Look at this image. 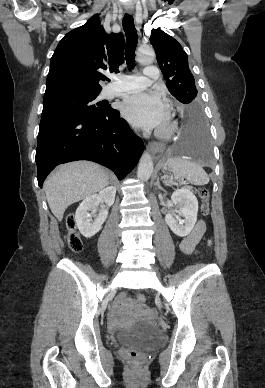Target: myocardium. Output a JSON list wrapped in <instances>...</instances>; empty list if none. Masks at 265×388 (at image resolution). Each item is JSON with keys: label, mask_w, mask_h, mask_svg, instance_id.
Wrapping results in <instances>:
<instances>
[{"label": "myocardium", "mask_w": 265, "mask_h": 388, "mask_svg": "<svg viewBox=\"0 0 265 388\" xmlns=\"http://www.w3.org/2000/svg\"><path fill=\"white\" fill-rule=\"evenodd\" d=\"M176 121L174 120H168L166 123H164L161 127H159L157 130H156V134L159 138H162V139H167L169 138L173 131L175 130L176 128Z\"/></svg>", "instance_id": "myocardium-1"}]
</instances>
